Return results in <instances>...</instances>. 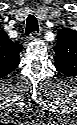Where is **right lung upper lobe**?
<instances>
[{
    "label": "right lung upper lobe",
    "instance_id": "1",
    "mask_svg": "<svg viewBox=\"0 0 77 125\" xmlns=\"http://www.w3.org/2000/svg\"><path fill=\"white\" fill-rule=\"evenodd\" d=\"M21 44L12 42L4 31H0V76L5 77L19 64Z\"/></svg>",
    "mask_w": 77,
    "mask_h": 125
}]
</instances>
